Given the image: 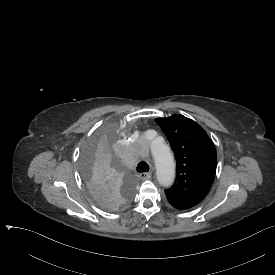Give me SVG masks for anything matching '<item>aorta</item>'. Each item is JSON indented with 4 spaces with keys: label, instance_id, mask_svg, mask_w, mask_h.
I'll list each match as a JSON object with an SVG mask.
<instances>
[{
    "label": "aorta",
    "instance_id": "1",
    "mask_svg": "<svg viewBox=\"0 0 275 275\" xmlns=\"http://www.w3.org/2000/svg\"><path fill=\"white\" fill-rule=\"evenodd\" d=\"M146 154L152 166L156 167V176L160 185L168 187L175 179L173 156L164 143V135L157 128H150L143 135Z\"/></svg>",
    "mask_w": 275,
    "mask_h": 275
}]
</instances>
